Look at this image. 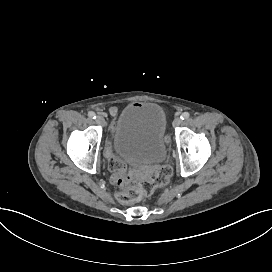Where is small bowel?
I'll return each instance as SVG.
<instances>
[{
	"label": "small bowel",
	"mask_w": 272,
	"mask_h": 272,
	"mask_svg": "<svg viewBox=\"0 0 272 272\" xmlns=\"http://www.w3.org/2000/svg\"><path fill=\"white\" fill-rule=\"evenodd\" d=\"M118 113V109L116 107H111L109 108V114L112 116V117H115ZM111 130L112 132H115L116 130V123L115 122H111ZM114 157H118L116 156L113 152H112V147H111V144H109L107 146V149H106V158L108 160V163L110 161V159L114 158Z\"/></svg>",
	"instance_id": "small-bowel-1"
}]
</instances>
